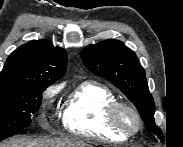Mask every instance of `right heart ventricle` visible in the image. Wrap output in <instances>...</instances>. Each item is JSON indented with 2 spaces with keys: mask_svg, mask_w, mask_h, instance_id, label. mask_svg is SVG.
<instances>
[{
  "mask_svg": "<svg viewBox=\"0 0 183 147\" xmlns=\"http://www.w3.org/2000/svg\"><path fill=\"white\" fill-rule=\"evenodd\" d=\"M118 101L106 85L85 81L68 95L63 109V127L86 139L125 141L129 136L113 130L107 123L108 107Z\"/></svg>",
  "mask_w": 183,
  "mask_h": 147,
  "instance_id": "right-heart-ventricle-1",
  "label": "right heart ventricle"
}]
</instances>
